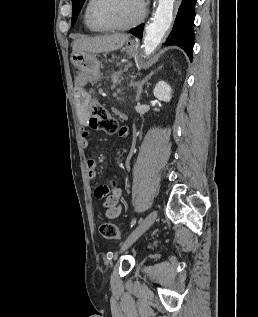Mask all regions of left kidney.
Wrapping results in <instances>:
<instances>
[{
	"mask_svg": "<svg viewBox=\"0 0 258 317\" xmlns=\"http://www.w3.org/2000/svg\"><path fill=\"white\" fill-rule=\"evenodd\" d=\"M153 94L158 100L169 102V100H171L172 88L165 80H159L153 90Z\"/></svg>",
	"mask_w": 258,
	"mask_h": 317,
	"instance_id": "obj_1",
	"label": "left kidney"
}]
</instances>
